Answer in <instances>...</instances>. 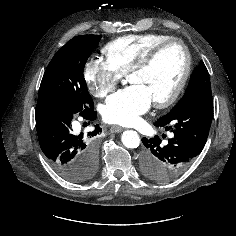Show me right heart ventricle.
I'll return each mask as SVG.
<instances>
[{
    "label": "right heart ventricle",
    "mask_w": 236,
    "mask_h": 236,
    "mask_svg": "<svg viewBox=\"0 0 236 236\" xmlns=\"http://www.w3.org/2000/svg\"><path fill=\"white\" fill-rule=\"evenodd\" d=\"M169 38L172 37L158 33L126 35L108 42L103 47V53L107 60L125 75L151 48Z\"/></svg>",
    "instance_id": "e07e8e85"
}]
</instances>
